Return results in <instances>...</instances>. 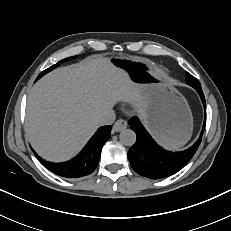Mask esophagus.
Returning <instances> with one entry per match:
<instances>
[{
  "label": "esophagus",
  "mask_w": 231,
  "mask_h": 231,
  "mask_svg": "<svg viewBox=\"0 0 231 231\" xmlns=\"http://www.w3.org/2000/svg\"><path fill=\"white\" fill-rule=\"evenodd\" d=\"M126 127H127V122L123 119H119L114 123V125L112 127V132L113 133L120 132V131L124 130Z\"/></svg>",
  "instance_id": "34e87169"
}]
</instances>
